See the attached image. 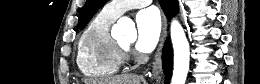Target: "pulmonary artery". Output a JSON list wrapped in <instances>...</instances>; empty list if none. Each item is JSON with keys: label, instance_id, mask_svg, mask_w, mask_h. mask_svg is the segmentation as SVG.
I'll list each match as a JSON object with an SVG mask.
<instances>
[{"label": "pulmonary artery", "instance_id": "pulmonary-artery-1", "mask_svg": "<svg viewBox=\"0 0 260 84\" xmlns=\"http://www.w3.org/2000/svg\"><path fill=\"white\" fill-rule=\"evenodd\" d=\"M152 1L150 0H126V1H111L104 7V10L115 17L122 15L124 12L134 9L144 7L149 5Z\"/></svg>", "mask_w": 260, "mask_h": 84}]
</instances>
